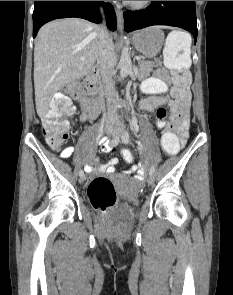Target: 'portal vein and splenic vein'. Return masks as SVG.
<instances>
[{"label": "portal vein and splenic vein", "instance_id": "obj_1", "mask_svg": "<svg viewBox=\"0 0 233 295\" xmlns=\"http://www.w3.org/2000/svg\"><path fill=\"white\" fill-rule=\"evenodd\" d=\"M136 59H137V60H140V58H139V57H136ZM81 60H84V58H81Z\"/></svg>", "mask_w": 233, "mask_h": 295}]
</instances>
